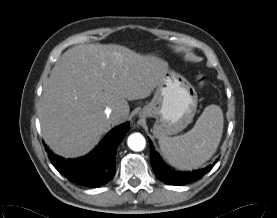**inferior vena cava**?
Segmentation results:
<instances>
[{"label":"inferior vena cava","instance_id":"inferior-vena-cava-1","mask_svg":"<svg viewBox=\"0 0 277 218\" xmlns=\"http://www.w3.org/2000/svg\"><path fill=\"white\" fill-rule=\"evenodd\" d=\"M105 114H106V116H107L108 118H111L112 116H114L113 111H112V109H110V108H106V109H105ZM120 116H121V114L118 113V114H117V117H120Z\"/></svg>","mask_w":277,"mask_h":218}]
</instances>
